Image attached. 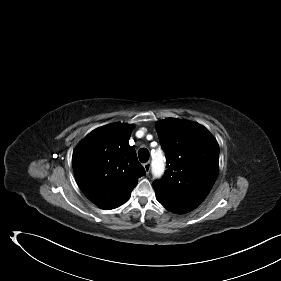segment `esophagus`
Wrapping results in <instances>:
<instances>
[{"instance_id":"34e87169","label":"esophagus","mask_w":281,"mask_h":281,"mask_svg":"<svg viewBox=\"0 0 281 281\" xmlns=\"http://www.w3.org/2000/svg\"><path fill=\"white\" fill-rule=\"evenodd\" d=\"M143 166H144V169H145L146 174H149L150 169H151V163H150V162H147V163H145Z\"/></svg>"}]
</instances>
